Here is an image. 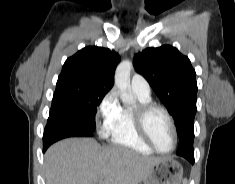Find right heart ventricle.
<instances>
[{
	"label": "right heart ventricle",
	"mask_w": 235,
	"mask_h": 184,
	"mask_svg": "<svg viewBox=\"0 0 235 184\" xmlns=\"http://www.w3.org/2000/svg\"><path fill=\"white\" fill-rule=\"evenodd\" d=\"M141 104H149L150 98L138 97ZM108 153L118 157L123 153L152 155L154 152L137 132L133 112L122 108L117 124L107 145Z\"/></svg>",
	"instance_id": "obj_1"
}]
</instances>
